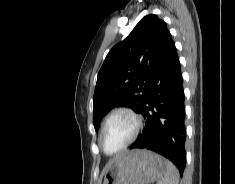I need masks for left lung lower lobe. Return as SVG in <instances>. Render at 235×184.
<instances>
[{"mask_svg":"<svg viewBox=\"0 0 235 184\" xmlns=\"http://www.w3.org/2000/svg\"><path fill=\"white\" fill-rule=\"evenodd\" d=\"M184 94L180 62L169 34L152 74L141 114L146 122L130 147L152 150L172 161L181 176L185 168Z\"/></svg>","mask_w":235,"mask_h":184,"instance_id":"0a47b994","label":"left lung lower lobe"}]
</instances>
